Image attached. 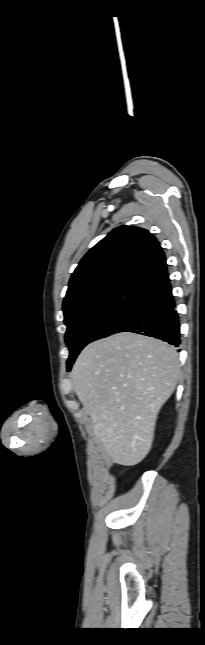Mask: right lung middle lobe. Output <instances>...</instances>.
<instances>
[{
	"label": "right lung middle lobe",
	"instance_id": "dd1d6c3e",
	"mask_svg": "<svg viewBox=\"0 0 205 645\" xmlns=\"http://www.w3.org/2000/svg\"><path fill=\"white\" fill-rule=\"evenodd\" d=\"M145 294L146 288L123 285L75 301L63 308L64 322L67 326L65 340L70 351L67 368H71L84 346L100 339L130 312Z\"/></svg>",
	"mask_w": 205,
	"mask_h": 645
}]
</instances>
